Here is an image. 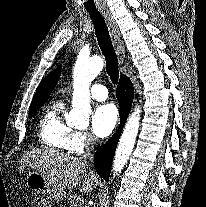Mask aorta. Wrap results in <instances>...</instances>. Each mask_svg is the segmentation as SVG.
<instances>
[{
	"instance_id": "aorta-1",
	"label": "aorta",
	"mask_w": 206,
	"mask_h": 207,
	"mask_svg": "<svg viewBox=\"0 0 206 207\" xmlns=\"http://www.w3.org/2000/svg\"><path fill=\"white\" fill-rule=\"evenodd\" d=\"M103 66L104 62L100 56L78 57L73 72L74 92L72 109L67 117L68 124L77 127L88 124L91 113L89 86ZM140 112V108L136 107L124 127L114 157V176L122 171L134 148L140 126Z\"/></svg>"
}]
</instances>
